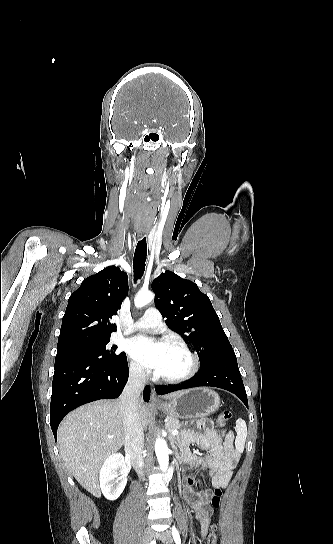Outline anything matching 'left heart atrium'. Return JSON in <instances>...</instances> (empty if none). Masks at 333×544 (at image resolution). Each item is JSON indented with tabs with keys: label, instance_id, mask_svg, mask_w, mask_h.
Returning <instances> with one entry per match:
<instances>
[{
	"label": "left heart atrium",
	"instance_id": "obj_1",
	"mask_svg": "<svg viewBox=\"0 0 333 544\" xmlns=\"http://www.w3.org/2000/svg\"><path fill=\"white\" fill-rule=\"evenodd\" d=\"M169 344L139 335L127 342V350L139 363L157 372L164 361Z\"/></svg>",
	"mask_w": 333,
	"mask_h": 544
}]
</instances>
